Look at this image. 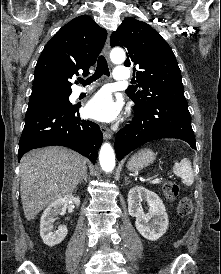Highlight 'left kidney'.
I'll return each instance as SVG.
<instances>
[{"label": "left kidney", "instance_id": "5707ae66", "mask_svg": "<svg viewBox=\"0 0 221 274\" xmlns=\"http://www.w3.org/2000/svg\"><path fill=\"white\" fill-rule=\"evenodd\" d=\"M146 201L149 212L144 213L141 202ZM128 212L136 217L135 226L147 240L156 241L165 234L169 221L165 206L159 196L144 187L136 186L128 193Z\"/></svg>", "mask_w": 221, "mask_h": 274}]
</instances>
